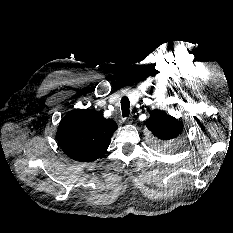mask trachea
Masks as SVG:
<instances>
[{
    "label": "trachea",
    "mask_w": 233,
    "mask_h": 233,
    "mask_svg": "<svg viewBox=\"0 0 233 233\" xmlns=\"http://www.w3.org/2000/svg\"><path fill=\"white\" fill-rule=\"evenodd\" d=\"M121 109H122V116L128 117L130 113V102L128 97H122L121 99Z\"/></svg>",
    "instance_id": "1"
}]
</instances>
